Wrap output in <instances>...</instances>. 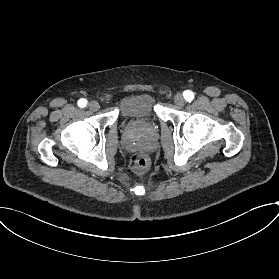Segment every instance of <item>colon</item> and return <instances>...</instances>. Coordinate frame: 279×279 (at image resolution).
Wrapping results in <instances>:
<instances>
[{"label":"colon","instance_id":"1","mask_svg":"<svg viewBox=\"0 0 279 279\" xmlns=\"http://www.w3.org/2000/svg\"><path fill=\"white\" fill-rule=\"evenodd\" d=\"M150 161L147 156L136 153L129 160V168L134 173H143L148 170Z\"/></svg>","mask_w":279,"mask_h":279}]
</instances>
